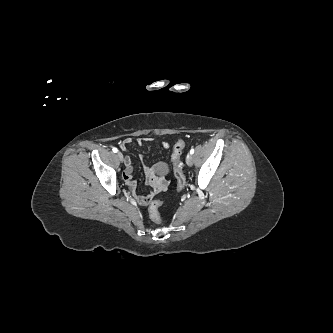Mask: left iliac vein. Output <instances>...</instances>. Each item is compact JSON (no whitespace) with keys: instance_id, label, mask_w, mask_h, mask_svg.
Instances as JSON below:
<instances>
[{"instance_id":"obj_1","label":"left iliac vein","mask_w":333,"mask_h":333,"mask_svg":"<svg viewBox=\"0 0 333 333\" xmlns=\"http://www.w3.org/2000/svg\"><path fill=\"white\" fill-rule=\"evenodd\" d=\"M186 163L188 166H192L193 165V156L192 154H188L186 157Z\"/></svg>"}]
</instances>
